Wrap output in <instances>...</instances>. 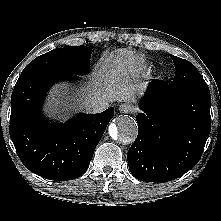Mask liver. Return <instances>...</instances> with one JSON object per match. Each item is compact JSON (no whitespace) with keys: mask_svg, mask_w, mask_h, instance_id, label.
Listing matches in <instances>:
<instances>
[{"mask_svg":"<svg viewBox=\"0 0 221 221\" xmlns=\"http://www.w3.org/2000/svg\"><path fill=\"white\" fill-rule=\"evenodd\" d=\"M142 70V60L133 51L125 48L114 50L99 63L88 84L78 91L76 110L90 113L88 106L101 99L109 103L135 101L142 90L139 82ZM66 96L64 88H53L48 97L47 111L51 115L58 113Z\"/></svg>","mask_w":221,"mask_h":221,"instance_id":"obj_1","label":"liver"}]
</instances>
